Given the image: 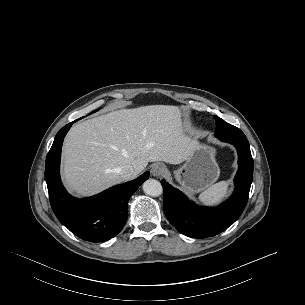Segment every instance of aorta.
I'll list each match as a JSON object with an SVG mask.
<instances>
[{
  "instance_id": "aorta-1",
  "label": "aorta",
  "mask_w": 305,
  "mask_h": 305,
  "mask_svg": "<svg viewBox=\"0 0 305 305\" xmlns=\"http://www.w3.org/2000/svg\"><path fill=\"white\" fill-rule=\"evenodd\" d=\"M143 191L149 196L157 197L163 193V188L159 181L148 179L143 183Z\"/></svg>"
}]
</instances>
